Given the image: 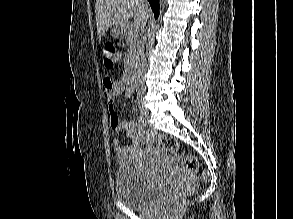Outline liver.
I'll list each match as a JSON object with an SVG mask.
<instances>
[{
  "instance_id": "1",
  "label": "liver",
  "mask_w": 293,
  "mask_h": 219,
  "mask_svg": "<svg viewBox=\"0 0 293 219\" xmlns=\"http://www.w3.org/2000/svg\"><path fill=\"white\" fill-rule=\"evenodd\" d=\"M147 4L146 0H96L95 14L99 41L109 27L125 28L132 16H134L135 29L142 32L152 15Z\"/></svg>"
}]
</instances>
